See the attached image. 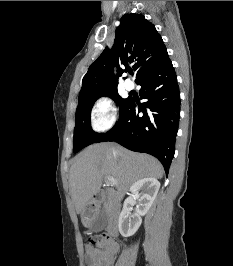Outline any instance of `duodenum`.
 <instances>
[{
  "label": "duodenum",
  "mask_w": 233,
  "mask_h": 266,
  "mask_svg": "<svg viewBox=\"0 0 233 266\" xmlns=\"http://www.w3.org/2000/svg\"><path fill=\"white\" fill-rule=\"evenodd\" d=\"M103 194L101 192L93 196L94 201H99L102 198ZM118 217H119V205L116 201L112 200L108 204V224H107V233L116 237L118 235Z\"/></svg>",
  "instance_id": "1"
}]
</instances>
